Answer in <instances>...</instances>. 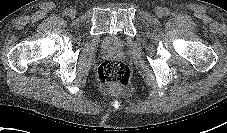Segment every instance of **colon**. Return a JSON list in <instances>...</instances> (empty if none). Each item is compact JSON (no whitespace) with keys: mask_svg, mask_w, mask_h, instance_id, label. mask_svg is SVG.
<instances>
[{"mask_svg":"<svg viewBox=\"0 0 227 133\" xmlns=\"http://www.w3.org/2000/svg\"><path fill=\"white\" fill-rule=\"evenodd\" d=\"M130 70L121 61L108 59L97 70V77L103 86L125 88L130 83Z\"/></svg>","mask_w":227,"mask_h":133,"instance_id":"5ec220e1","label":"colon"}]
</instances>
